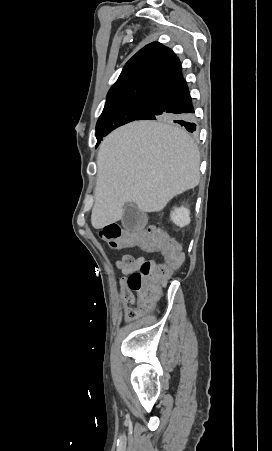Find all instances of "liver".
<instances>
[{
	"label": "liver",
	"instance_id": "obj_1",
	"mask_svg": "<svg viewBox=\"0 0 272 451\" xmlns=\"http://www.w3.org/2000/svg\"><path fill=\"white\" fill-rule=\"evenodd\" d=\"M199 150L188 132L172 122H131L100 144L91 224H114L123 206L160 212L174 196L200 182Z\"/></svg>",
	"mask_w": 272,
	"mask_h": 451
}]
</instances>
